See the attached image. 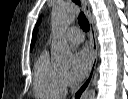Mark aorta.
<instances>
[{"instance_id": "obj_1", "label": "aorta", "mask_w": 128, "mask_h": 99, "mask_svg": "<svg viewBox=\"0 0 128 99\" xmlns=\"http://www.w3.org/2000/svg\"><path fill=\"white\" fill-rule=\"evenodd\" d=\"M75 18V10L69 5L56 6L52 11V26L57 31H61L70 24ZM52 60L58 66H69L72 63L73 53L66 42L58 33L52 42ZM95 90L85 92L83 99H95Z\"/></svg>"}]
</instances>
